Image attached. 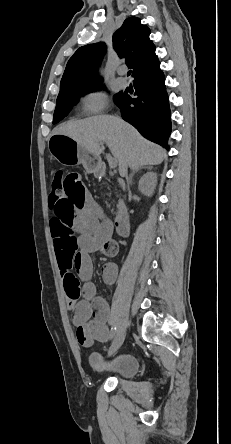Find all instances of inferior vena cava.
Here are the masks:
<instances>
[{
	"instance_id": "1",
	"label": "inferior vena cava",
	"mask_w": 231,
	"mask_h": 444,
	"mask_svg": "<svg viewBox=\"0 0 231 444\" xmlns=\"http://www.w3.org/2000/svg\"><path fill=\"white\" fill-rule=\"evenodd\" d=\"M120 174H121L122 176H126V174H127V169H126V167L120 168ZM127 182H128V179H127Z\"/></svg>"
}]
</instances>
